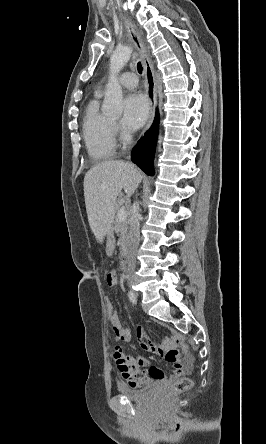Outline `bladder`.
<instances>
[{"mask_svg":"<svg viewBox=\"0 0 266 444\" xmlns=\"http://www.w3.org/2000/svg\"><path fill=\"white\" fill-rule=\"evenodd\" d=\"M156 386L157 382H152L138 390H133L127 387L120 386L119 392L123 397H125L128 400L140 402L149 397L153 393Z\"/></svg>","mask_w":266,"mask_h":444,"instance_id":"bladder-1","label":"bladder"}]
</instances>
